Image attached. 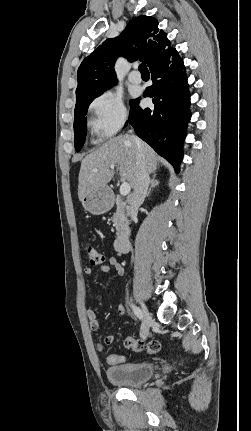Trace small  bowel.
<instances>
[{"instance_id":"1","label":"small bowel","mask_w":251,"mask_h":431,"mask_svg":"<svg viewBox=\"0 0 251 431\" xmlns=\"http://www.w3.org/2000/svg\"><path fill=\"white\" fill-rule=\"evenodd\" d=\"M112 269L116 272V274L118 276H122L124 274L123 265L117 260V258H115L113 256L109 257L108 264H102L100 266V270L102 272H105V273L111 272ZM83 272L85 275L90 276L93 273V269L91 267H85ZM117 312L120 316H123L126 312L125 307L122 304H118L117 305ZM86 316L89 320V325H90L91 330L97 331L100 327V322H99V319L97 318L95 311L92 309H88L86 311ZM115 338L116 337L113 334L106 335L103 338L102 342L98 344V349L102 350L103 345L112 344L115 341Z\"/></svg>"}]
</instances>
